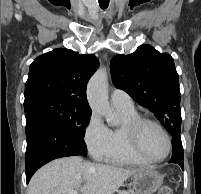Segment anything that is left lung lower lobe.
Wrapping results in <instances>:
<instances>
[{
    "instance_id": "0a47b994",
    "label": "left lung lower lobe",
    "mask_w": 201,
    "mask_h": 194,
    "mask_svg": "<svg viewBox=\"0 0 201 194\" xmlns=\"http://www.w3.org/2000/svg\"><path fill=\"white\" fill-rule=\"evenodd\" d=\"M172 135H173V139H172L173 154L169 163H176L180 165L182 169H184V153H183L180 133H174Z\"/></svg>"
}]
</instances>
